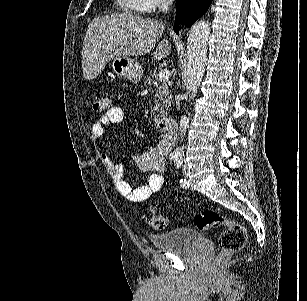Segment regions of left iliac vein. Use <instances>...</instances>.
<instances>
[{
    "label": "left iliac vein",
    "instance_id": "4c4485c4",
    "mask_svg": "<svg viewBox=\"0 0 307 301\" xmlns=\"http://www.w3.org/2000/svg\"><path fill=\"white\" fill-rule=\"evenodd\" d=\"M183 174H184V176L186 177V178H188V176H189V172H188V166L186 165V164H184L183 165ZM189 186V185H188ZM187 186V187H188ZM186 187V188H187Z\"/></svg>",
    "mask_w": 307,
    "mask_h": 301
}]
</instances>
